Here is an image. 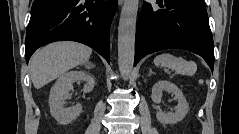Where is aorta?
<instances>
[{
	"label": "aorta",
	"mask_w": 239,
	"mask_h": 134,
	"mask_svg": "<svg viewBox=\"0 0 239 134\" xmlns=\"http://www.w3.org/2000/svg\"><path fill=\"white\" fill-rule=\"evenodd\" d=\"M139 0H124L118 26V65L122 76L130 77L135 54L136 21Z\"/></svg>",
	"instance_id": "aorta-1"
}]
</instances>
